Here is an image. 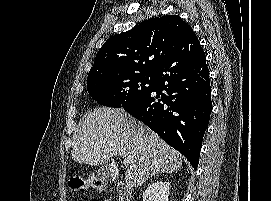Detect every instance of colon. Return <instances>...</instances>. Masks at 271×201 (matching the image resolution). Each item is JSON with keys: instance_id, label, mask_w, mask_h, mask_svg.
<instances>
[{"instance_id": "obj_1", "label": "colon", "mask_w": 271, "mask_h": 201, "mask_svg": "<svg viewBox=\"0 0 271 201\" xmlns=\"http://www.w3.org/2000/svg\"><path fill=\"white\" fill-rule=\"evenodd\" d=\"M71 188L73 190H94L98 192H104L106 187L104 183L95 177H89L87 179L76 178L71 181Z\"/></svg>"}]
</instances>
